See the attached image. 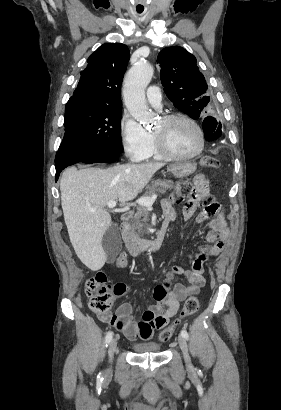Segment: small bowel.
<instances>
[{
    "mask_svg": "<svg viewBox=\"0 0 281 410\" xmlns=\"http://www.w3.org/2000/svg\"><path fill=\"white\" fill-rule=\"evenodd\" d=\"M195 193L184 202L183 213L185 219H190L196 212L199 198L210 194V183L207 177L198 174L194 178ZM184 198L179 193L163 199L162 210L165 215L163 224H168L175 218L174 204L183 202ZM198 224L207 225L210 231L206 236L207 244L200 247V253L192 262L190 269L182 266H172L166 273L162 284L151 289V296L156 302L150 305L143 313L141 321H136L132 315L130 303H122L115 315H103L101 318L114 325L123 335L131 341L149 340L154 329L163 328L171 317H173L180 303L189 295L195 294L205 284L204 263L210 256H218L225 247L228 237V228L222 216L210 217L206 213L199 214L196 218ZM177 276H183L185 281L175 282ZM133 294L123 283L116 284L115 295ZM120 321L121 325L116 322Z\"/></svg>",
    "mask_w": 281,
    "mask_h": 410,
    "instance_id": "small-bowel-1",
    "label": "small bowel"
}]
</instances>
